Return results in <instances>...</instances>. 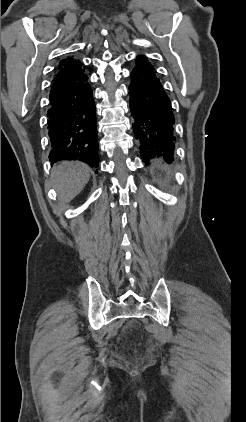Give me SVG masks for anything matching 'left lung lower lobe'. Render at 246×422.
<instances>
[{"label":"left lung lower lobe","instance_id":"obj_1","mask_svg":"<svg viewBox=\"0 0 246 422\" xmlns=\"http://www.w3.org/2000/svg\"><path fill=\"white\" fill-rule=\"evenodd\" d=\"M135 63L129 86L130 109L143 162L147 165L150 159L163 157L170 163L176 140L170 99L147 57L139 55Z\"/></svg>","mask_w":246,"mask_h":422}]
</instances>
